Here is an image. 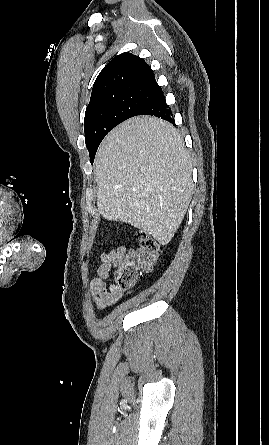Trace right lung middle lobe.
<instances>
[{"label": "right lung middle lobe", "mask_w": 269, "mask_h": 445, "mask_svg": "<svg viewBox=\"0 0 269 445\" xmlns=\"http://www.w3.org/2000/svg\"><path fill=\"white\" fill-rule=\"evenodd\" d=\"M159 94L156 87H131L107 92L89 102L85 112L84 130L91 163L106 134L119 123L138 115Z\"/></svg>", "instance_id": "dd1d6c3e"}]
</instances>
